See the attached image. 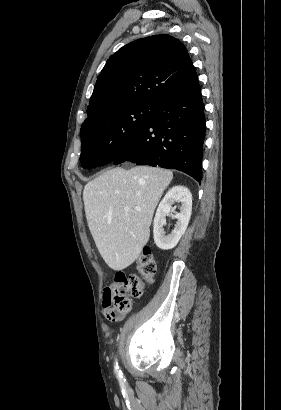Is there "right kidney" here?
I'll use <instances>...</instances> for the list:
<instances>
[{"instance_id": "right-kidney-1", "label": "right kidney", "mask_w": 281, "mask_h": 410, "mask_svg": "<svg viewBox=\"0 0 281 410\" xmlns=\"http://www.w3.org/2000/svg\"><path fill=\"white\" fill-rule=\"evenodd\" d=\"M176 202L181 203L180 213L174 216L178 221L172 232L165 235L163 226L166 224V215L175 209L172 205ZM191 211L192 195L187 187L174 186L166 193L157 208L153 222L154 241L158 248L169 250L177 245L187 229Z\"/></svg>"}]
</instances>
